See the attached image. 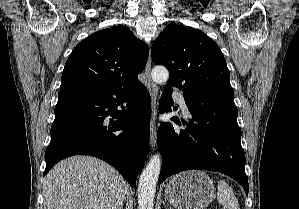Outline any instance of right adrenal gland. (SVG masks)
Returning <instances> with one entry per match:
<instances>
[{"label":"right adrenal gland","instance_id":"1","mask_svg":"<svg viewBox=\"0 0 299 209\" xmlns=\"http://www.w3.org/2000/svg\"><path fill=\"white\" fill-rule=\"evenodd\" d=\"M120 209H123V205L120 207Z\"/></svg>","mask_w":299,"mask_h":209}]
</instances>
